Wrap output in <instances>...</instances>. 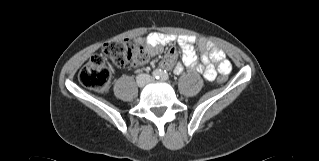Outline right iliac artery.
<instances>
[{
	"label": "right iliac artery",
	"instance_id": "82829eb1",
	"mask_svg": "<svg viewBox=\"0 0 319 161\" xmlns=\"http://www.w3.org/2000/svg\"><path fill=\"white\" fill-rule=\"evenodd\" d=\"M152 76H153V78H155V79H159L160 76H161V70H160V69L154 70V71L152 72Z\"/></svg>",
	"mask_w": 319,
	"mask_h": 161
}]
</instances>
